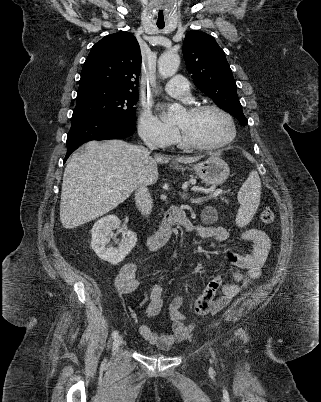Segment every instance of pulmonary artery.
I'll use <instances>...</instances> for the list:
<instances>
[{
    "label": "pulmonary artery",
    "mask_w": 321,
    "mask_h": 402,
    "mask_svg": "<svg viewBox=\"0 0 321 402\" xmlns=\"http://www.w3.org/2000/svg\"><path fill=\"white\" fill-rule=\"evenodd\" d=\"M164 90L169 95L181 98L185 100H190V91L187 80L180 75L171 78L164 86Z\"/></svg>",
    "instance_id": "obj_1"
}]
</instances>
